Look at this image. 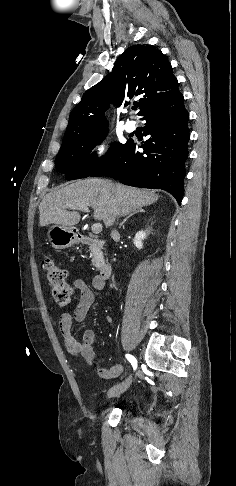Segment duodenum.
Listing matches in <instances>:
<instances>
[{
	"instance_id": "410a0bca",
	"label": "duodenum",
	"mask_w": 236,
	"mask_h": 486,
	"mask_svg": "<svg viewBox=\"0 0 236 486\" xmlns=\"http://www.w3.org/2000/svg\"><path fill=\"white\" fill-rule=\"evenodd\" d=\"M78 240L80 243L89 245L95 249H100L103 245V242L100 239H97L92 236L87 235H79ZM112 268L109 264L104 263L100 266L98 279L100 282L105 283L111 277Z\"/></svg>"
}]
</instances>
